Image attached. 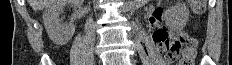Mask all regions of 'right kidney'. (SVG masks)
<instances>
[{
    "label": "right kidney",
    "mask_w": 232,
    "mask_h": 65,
    "mask_svg": "<svg viewBox=\"0 0 232 65\" xmlns=\"http://www.w3.org/2000/svg\"><path fill=\"white\" fill-rule=\"evenodd\" d=\"M76 5L75 0H55L43 14V23L49 38L57 45H65L73 37L75 26L64 24L59 16L66 5Z\"/></svg>",
    "instance_id": "1"
}]
</instances>
